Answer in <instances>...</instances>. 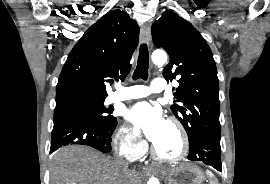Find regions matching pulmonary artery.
I'll list each match as a JSON object with an SVG mask.
<instances>
[{"mask_svg":"<svg viewBox=\"0 0 270 184\" xmlns=\"http://www.w3.org/2000/svg\"><path fill=\"white\" fill-rule=\"evenodd\" d=\"M166 89V82L162 78H155L150 86L134 85L121 87L110 96L111 102L131 100L148 96L151 93H160Z\"/></svg>","mask_w":270,"mask_h":184,"instance_id":"e3ab8cb5","label":"pulmonary artery"}]
</instances>
